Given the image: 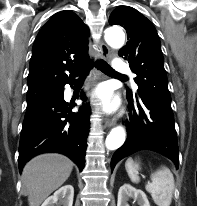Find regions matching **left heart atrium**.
I'll return each mask as SVG.
<instances>
[{"label":"left heart atrium","instance_id":"1","mask_svg":"<svg viewBox=\"0 0 197 206\" xmlns=\"http://www.w3.org/2000/svg\"><path fill=\"white\" fill-rule=\"evenodd\" d=\"M98 94L100 98L102 99L103 103L107 106H110V99H109L108 92L102 88L99 90Z\"/></svg>","mask_w":197,"mask_h":206}]
</instances>
